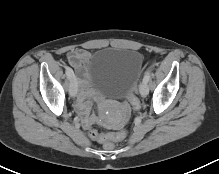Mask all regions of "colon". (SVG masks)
I'll list each match as a JSON object with an SVG mask.
<instances>
[{
    "label": "colon",
    "instance_id": "5ec220e1",
    "mask_svg": "<svg viewBox=\"0 0 219 174\" xmlns=\"http://www.w3.org/2000/svg\"><path fill=\"white\" fill-rule=\"evenodd\" d=\"M128 99L132 106V109L134 111H138L141 107V103L134 91L129 94ZM89 136L91 139L105 144L108 149H112L115 142H119L126 138L127 132L125 130H122L114 133L103 134L98 132L97 130H91L89 132Z\"/></svg>",
    "mask_w": 219,
    "mask_h": 174
}]
</instances>
